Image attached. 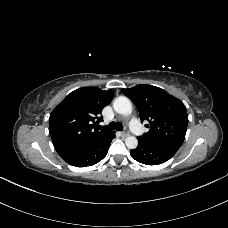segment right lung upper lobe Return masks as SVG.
<instances>
[{
  "mask_svg": "<svg viewBox=\"0 0 228 228\" xmlns=\"http://www.w3.org/2000/svg\"><path fill=\"white\" fill-rule=\"evenodd\" d=\"M113 99V91L94 87L79 88L52 111L49 132L57 152L96 142L109 131H98L93 124L102 121V109Z\"/></svg>",
  "mask_w": 228,
  "mask_h": 228,
  "instance_id": "obj_1",
  "label": "right lung upper lobe"
}]
</instances>
